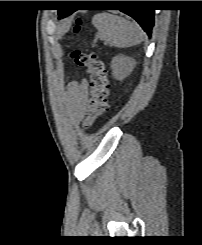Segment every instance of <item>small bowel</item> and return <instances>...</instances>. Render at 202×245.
<instances>
[{"mask_svg": "<svg viewBox=\"0 0 202 245\" xmlns=\"http://www.w3.org/2000/svg\"><path fill=\"white\" fill-rule=\"evenodd\" d=\"M87 82L82 81L80 84L77 82H70L67 86L68 96L78 105L82 104L85 97Z\"/></svg>", "mask_w": 202, "mask_h": 245, "instance_id": "small-bowel-1", "label": "small bowel"}]
</instances>
